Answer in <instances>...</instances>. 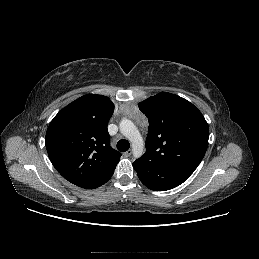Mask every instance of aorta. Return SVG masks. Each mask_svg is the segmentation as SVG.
I'll list each match as a JSON object with an SVG mask.
<instances>
[{
	"label": "aorta",
	"mask_w": 259,
	"mask_h": 259,
	"mask_svg": "<svg viewBox=\"0 0 259 259\" xmlns=\"http://www.w3.org/2000/svg\"><path fill=\"white\" fill-rule=\"evenodd\" d=\"M120 132L131 142L134 157L140 158L144 153L143 138L131 120L123 119L120 122Z\"/></svg>",
	"instance_id": "762f6f07"
}]
</instances>
